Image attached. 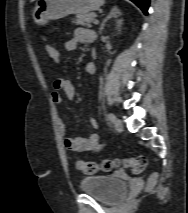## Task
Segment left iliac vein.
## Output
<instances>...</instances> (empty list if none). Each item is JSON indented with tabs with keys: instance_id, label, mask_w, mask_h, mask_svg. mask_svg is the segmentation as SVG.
I'll use <instances>...</instances> for the list:
<instances>
[{
	"instance_id": "left-iliac-vein-1",
	"label": "left iliac vein",
	"mask_w": 188,
	"mask_h": 213,
	"mask_svg": "<svg viewBox=\"0 0 188 213\" xmlns=\"http://www.w3.org/2000/svg\"><path fill=\"white\" fill-rule=\"evenodd\" d=\"M114 127L117 131H122L123 130V124H122L121 120L115 119Z\"/></svg>"
}]
</instances>
